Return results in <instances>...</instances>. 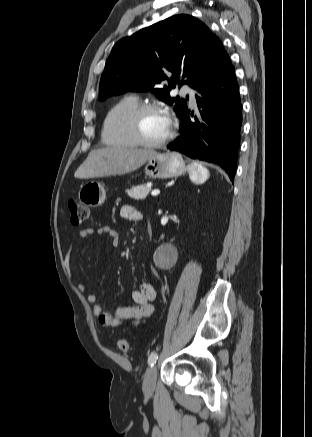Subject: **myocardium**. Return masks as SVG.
<instances>
[{"instance_id": "f54148a6", "label": "myocardium", "mask_w": 312, "mask_h": 437, "mask_svg": "<svg viewBox=\"0 0 312 437\" xmlns=\"http://www.w3.org/2000/svg\"><path fill=\"white\" fill-rule=\"evenodd\" d=\"M150 112H162L164 113L170 122V128L168 134L159 141H151L147 139L141 129V121L145 114ZM175 124L173 119L170 117L168 112L160 105L153 103H143L139 104L130 115V131L133 138L138 142L139 145L145 147H161L168 144L174 137Z\"/></svg>"}]
</instances>
